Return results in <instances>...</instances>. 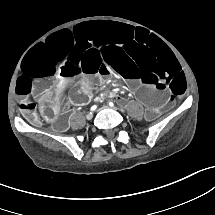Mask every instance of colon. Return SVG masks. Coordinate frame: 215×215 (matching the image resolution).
I'll return each instance as SVG.
<instances>
[{
  "label": "colon",
  "mask_w": 215,
  "mask_h": 215,
  "mask_svg": "<svg viewBox=\"0 0 215 215\" xmlns=\"http://www.w3.org/2000/svg\"><path fill=\"white\" fill-rule=\"evenodd\" d=\"M57 99L53 96L43 95L40 99L41 109L45 112L46 118L50 122H54L58 116L56 108ZM20 110L29 121H36V105L34 103L25 102L20 104Z\"/></svg>",
  "instance_id": "colon-1"
}]
</instances>
